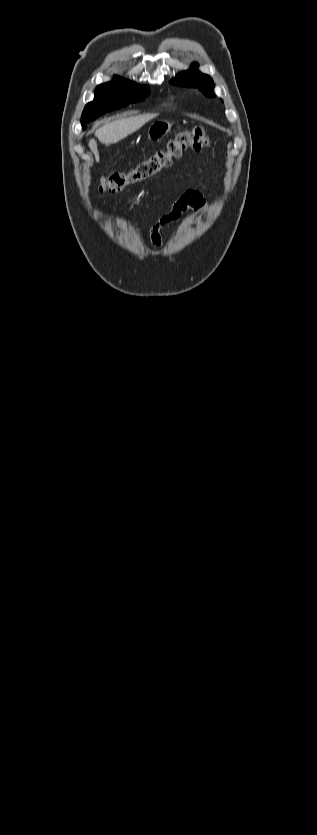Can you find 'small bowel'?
Instances as JSON below:
<instances>
[{
    "label": "small bowel",
    "mask_w": 317,
    "mask_h": 835,
    "mask_svg": "<svg viewBox=\"0 0 317 835\" xmlns=\"http://www.w3.org/2000/svg\"><path fill=\"white\" fill-rule=\"evenodd\" d=\"M209 207V201L202 191L190 189L185 191L173 203L168 213L161 216L149 231V241L155 248L161 247L163 238L161 230L168 224L179 219L186 211L193 210L198 213H205Z\"/></svg>",
    "instance_id": "small-bowel-1"
}]
</instances>
